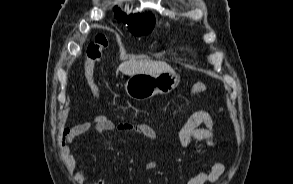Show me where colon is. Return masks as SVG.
Listing matches in <instances>:
<instances>
[{
	"instance_id": "1",
	"label": "colon",
	"mask_w": 293,
	"mask_h": 184,
	"mask_svg": "<svg viewBox=\"0 0 293 184\" xmlns=\"http://www.w3.org/2000/svg\"><path fill=\"white\" fill-rule=\"evenodd\" d=\"M108 46V39L105 35H97L94 40L87 46L85 61V77L93 94L100 99L101 93L94 77V68L100 60L103 51ZM208 87L203 82L195 83L189 92V98L207 91Z\"/></svg>"
}]
</instances>
